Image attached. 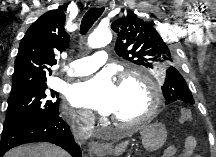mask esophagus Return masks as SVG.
Instances as JSON below:
<instances>
[{"mask_svg": "<svg viewBox=\"0 0 216 157\" xmlns=\"http://www.w3.org/2000/svg\"><path fill=\"white\" fill-rule=\"evenodd\" d=\"M95 5L98 6V7H102L105 5V1L104 0H97L95 2ZM88 147L91 151H94V152H99V151H104L106 149V146L103 145V144H100L96 141H90L88 142Z\"/></svg>", "mask_w": 216, "mask_h": 157, "instance_id": "1", "label": "esophagus"}]
</instances>
